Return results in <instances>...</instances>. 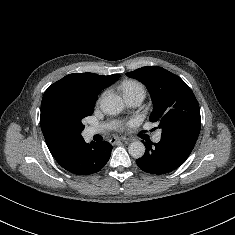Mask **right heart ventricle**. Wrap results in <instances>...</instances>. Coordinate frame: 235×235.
<instances>
[{
  "mask_svg": "<svg viewBox=\"0 0 235 235\" xmlns=\"http://www.w3.org/2000/svg\"><path fill=\"white\" fill-rule=\"evenodd\" d=\"M142 87V85L135 81L126 82L123 86L124 92L133 88Z\"/></svg>",
  "mask_w": 235,
  "mask_h": 235,
  "instance_id": "e07e8e85",
  "label": "right heart ventricle"
}]
</instances>
